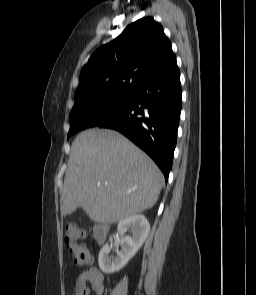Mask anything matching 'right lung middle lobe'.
Segmentation results:
<instances>
[{
	"label": "right lung middle lobe",
	"instance_id": "obj_1",
	"mask_svg": "<svg viewBox=\"0 0 256 295\" xmlns=\"http://www.w3.org/2000/svg\"><path fill=\"white\" fill-rule=\"evenodd\" d=\"M134 100L135 92H130L119 96L75 101L69 117L71 128L68 138L88 128L91 121L113 118L123 113L133 105Z\"/></svg>",
	"mask_w": 256,
	"mask_h": 295
}]
</instances>
